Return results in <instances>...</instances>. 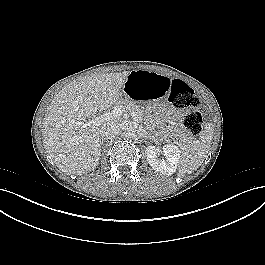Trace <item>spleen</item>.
<instances>
[{
  "label": "spleen",
  "mask_w": 265,
  "mask_h": 265,
  "mask_svg": "<svg viewBox=\"0 0 265 265\" xmlns=\"http://www.w3.org/2000/svg\"><path fill=\"white\" fill-rule=\"evenodd\" d=\"M213 132L210 127L206 128L201 136V140L193 146L190 152H186L179 161L178 175L184 176L190 173L203 163L206 154L211 147Z\"/></svg>",
  "instance_id": "spleen-1"
}]
</instances>
